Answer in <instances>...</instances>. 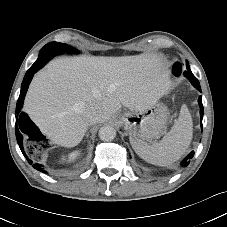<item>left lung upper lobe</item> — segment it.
Returning <instances> with one entry per match:
<instances>
[{"label": "left lung upper lobe", "instance_id": "1", "mask_svg": "<svg viewBox=\"0 0 227 227\" xmlns=\"http://www.w3.org/2000/svg\"><path fill=\"white\" fill-rule=\"evenodd\" d=\"M186 64L187 71L184 72V76L189 79V81L192 83L194 87L200 85L198 79L192 74L188 62H186Z\"/></svg>", "mask_w": 227, "mask_h": 227}]
</instances>
